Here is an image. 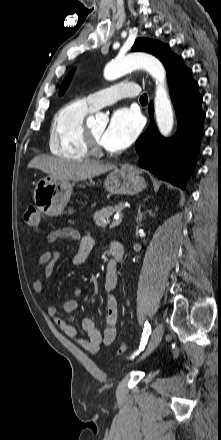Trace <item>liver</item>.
Segmentation results:
<instances>
[{"label": "liver", "mask_w": 221, "mask_h": 440, "mask_svg": "<svg viewBox=\"0 0 221 440\" xmlns=\"http://www.w3.org/2000/svg\"><path fill=\"white\" fill-rule=\"evenodd\" d=\"M28 168H36L51 177L63 181H84L115 168L113 164L98 162H75L46 155L34 157Z\"/></svg>", "instance_id": "6515ba94"}]
</instances>
